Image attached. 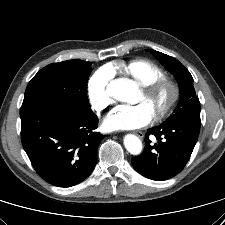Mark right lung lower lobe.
I'll return each mask as SVG.
<instances>
[{
  "instance_id": "right-lung-lower-lobe-1",
  "label": "right lung lower lobe",
  "mask_w": 225,
  "mask_h": 225,
  "mask_svg": "<svg viewBox=\"0 0 225 225\" xmlns=\"http://www.w3.org/2000/svg\"><path fill=\"white\" fill-rule=\"evenodd\" d=\"M21 141L34 169L52 185L71 187L93 171L97 149L105 137L96 132L98 118L67 105L22 104Z\"/></svg>"
}]
</instances>
